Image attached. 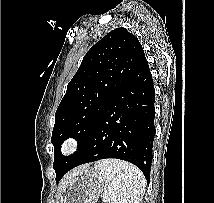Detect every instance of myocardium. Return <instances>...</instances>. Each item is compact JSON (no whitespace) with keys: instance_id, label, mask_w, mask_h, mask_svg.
<instances>
[{"instance_id":"myocardium-1","label":"myocardium","mask_w":214,"mask_h":203,"mask_svg":"<svg viewBox=\"0 0 214 203\" xmlns=\"http://www.w3.org/2000/svg\"><path fill=\"white\" fill-rule=\"evenodd\" d=\"M80 146V138L78 136L68 137L62 144L60 154L62 156H69L75 153Z\"/></svg>"}]
</instances>
